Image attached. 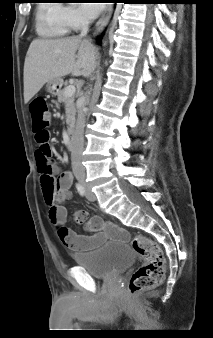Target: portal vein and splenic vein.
Instances as JSON below:
<instances>
[{
    "label": "portal vein and splenic vein",
    "instance_id": "obj_1",
    "mask_svg": "<svg viewBox=\"0 0 213 338\" xmlns=\"http://www.w3.org/2000/svg\"><path fill=\"white\" fill-rule=\"evenodd\" d=\"M75 91H76V88L74 85H69L65 88V96L66 97H70V96H73L75 94Z\"/></svg>",
    "mask_w": 213,
    "mask_h": 338
}]
</instances>
